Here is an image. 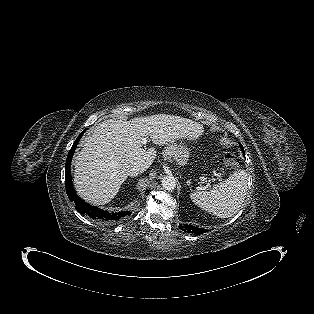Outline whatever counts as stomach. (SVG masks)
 Returning a JSON list of instances; mask_svg holds the SVG:
<instances>
[{"mask_svg": "<svg viewBox=\"0 0 314 314\" xmlns=\"http://www.w3.org/2000/svg\"><path fill=\"white\" fill-rule=\"evenodd\" d=\"M164 157L175 160L180 165H185L189 158V148L182 141H173L166 147Z\"/></svg>", "mask_w": 314, "mask_h": 314, "instance_id": "stomach-1", "label": "stomach"}]
</instances>
